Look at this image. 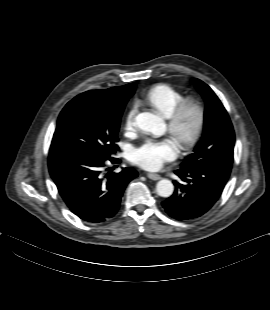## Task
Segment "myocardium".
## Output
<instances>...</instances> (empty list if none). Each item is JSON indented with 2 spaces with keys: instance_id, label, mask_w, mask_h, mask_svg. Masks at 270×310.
<instances>
[{
  "instance_id": "1",
  "label": "myocardium",
  "mask_w": 270,
  "mask_h": 310,
  "mask_svg": "<svg viewBox=\"0 0 270 310\" xmlns=\"http://www.w3.org/2000/svg\"><path fill=\"white\" fill-rule=\"evenodd\" d=\"M191 119L190 125L187 120ZM205 111L196 100H183L168 117V131L184 147L191 146L201 135Z\"/></svg>"
}]
</instances>
